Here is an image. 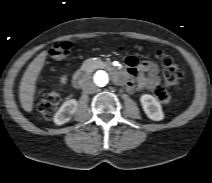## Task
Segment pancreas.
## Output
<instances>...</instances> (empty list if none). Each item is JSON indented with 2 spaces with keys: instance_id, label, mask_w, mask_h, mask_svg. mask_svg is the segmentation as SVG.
Here are the masks:
<instances>
[{
  "instance_id": "obj_1",
  "label": "pancreas",
  "mask_w": 212,
  "mask_h": 183,
  "mask_svg": "<svg viewBox=\"0 0 212 183\" xmlns=\"http://www.w3.org/2000/svg\"><path fill=\"white\" fill-rule=\"evenodd\" d=\"M98 61H99L98 59H88L84 62V66H88V65L96 63Z\"/></svg>"
}]
</instances>
